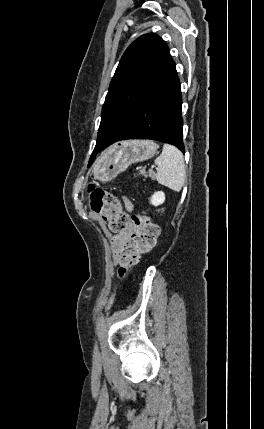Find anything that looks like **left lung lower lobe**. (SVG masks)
Segmentation results:
<instances>
[{
	"mask_svg": "<svg viewBox=\"0 0 264 429\" xmlns=\"http://www.w3.org/2000/svg\"><path fill=\"white\" fill-rule=\"evenodd\" d=\"M181 109L180 82L175 63L170 56L162 75L145 95L128 128L117 141L152 139L175 145L184 153ZM100 151L92 153L90 162Z\"/></svg>",
	"mask_w": 264,
	"mask_h": 429,
	"instance_id": "1",
	"label": "left lung lower lobe"
}]
</instances>
